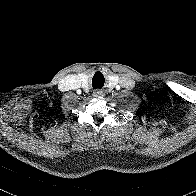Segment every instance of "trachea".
Instances as JSON below:
<instances>
[{"label": "trachea", "mask_w": 196, "mask_h": 196, "mask_svg": "<svg viewBox=\"0 0 196 196\" xmlns=\"http://www.w3.org/2000/svg\"><path fill=\"white\" fill-rule=\"evenodd\" d=\"M99 75H100V73H96L92 79V86L95 89H101L104 85V80L102 77L99 78Z\"/></svg>", "instance_id": "3493384b"}]
</instances>
